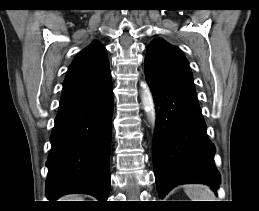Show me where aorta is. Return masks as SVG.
<instances>
[{
	"label": "aorta",
	"instance_id": "762f6f07",
	"mask_svg": "<svg viewBox=\"0 0 259 211\" xmlns=\"http://www.w3.org/2000/svg\"><path fill=\"white\" fill-rule=\"evenodd\" d=\"M141 99H142L143 107L148 117V120L152 125H155V122H156L155 103H154L151 89L147 84L142 85Z\"/></svg>",
	"mask_w": 259,
	"mask_h": 211
}]
</instances>
